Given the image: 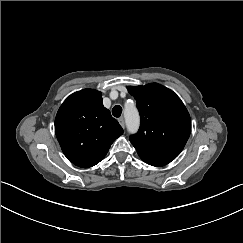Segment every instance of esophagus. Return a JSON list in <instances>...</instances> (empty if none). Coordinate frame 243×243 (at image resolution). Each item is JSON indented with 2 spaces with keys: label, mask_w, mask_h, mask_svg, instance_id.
<instances>
[{
  "label": "esophagus",
  "mask_w": 243,
  "mask_h": 243,
  "mask_svg": "<svg viewBox=\"0 0 243 243\" xmlns=\"http://www.w3.org/2000/svg\"><path fill=\"white\" fill-rule=\"evenodd\" d=\"M118 122H119V124L121 125V127H125V123H124V119L122 118V117H120L119 119H118Z\"/></svg>",
  "instance_id": "obj_1"
}]
</instances>
